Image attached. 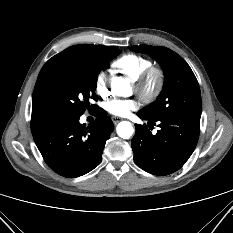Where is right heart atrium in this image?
I'll return each mask as SVG.
<instances>
[{
  "label": "right heart atrium",
  "instance_id": "right-heart-atrium-1",
  "mask_svg": "<svg viewBox=\"0 0 233 233\" xmlns=\"http://www.w3.org/2000/svg\"><path fill=\"white\" fill-rule=\"evenodd\" d=\"M107 84H108L107 73L104 70L99 71L95 77V82H94L95 91L99 96L101 97L107 96L108 93Z\"/></svg>",
  "mask_w": 233,
  "mask_h": 233
}]
</instances>
